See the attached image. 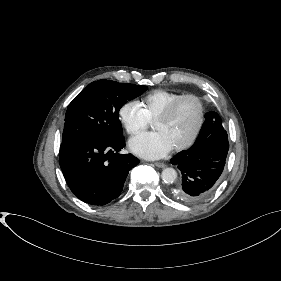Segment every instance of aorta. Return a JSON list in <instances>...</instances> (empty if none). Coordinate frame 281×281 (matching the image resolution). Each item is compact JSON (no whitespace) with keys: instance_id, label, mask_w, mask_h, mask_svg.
<instances>
[{"instance_id":"1","label":"aorta","mask_w":281,"mask_h":281,"mask_svg":"<svg viewBox=\"0 0 281 281\" xmlns=\"http://www.w3.org/2000/svg\"><path fill=\"white\" fill-rule=\"evenodd\" d=\"M161 177L165 183L171 184L177 179V172L173 168H165L162 171Z\"/></svg>"}]
</instances>
